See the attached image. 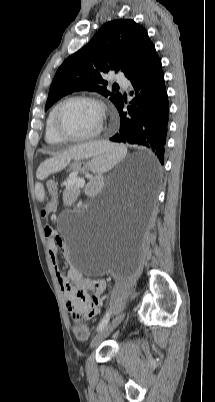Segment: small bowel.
Returning a JSON list of instances; mask_svg holds the SVG:
<instances>
[{
  "instance_id": "small-bowel-1",
  "label": "small bowel",
  "mask_w": 215,
  "mask_h": 402,
  "mask_svg": "<svg viewBox=\"0 0 215 402\" xmlns=\"http://www.w3.org/2000/svg\"><path fill=\"white\" fill-rule=\"evenodd\" d=\"M64 203L68 204V201L64 200ZM44 234L67 310L73 316L83 314L90 318L98 315L101 310V297L106 289L105 281L85 277L75 268H70L67 275H64L59 270L57 256L59 251L65 253V243L50 225L45 226Z\"/></svg>"
}]
</instances>
